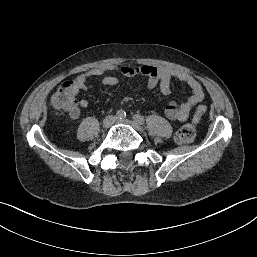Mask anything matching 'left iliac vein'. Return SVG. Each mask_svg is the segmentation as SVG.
Here are the masks:
<instances>
[{
    "label": "left iliac vein",
    "mask_w": 257,
    "mask_h": 257,
    "mask_svg": "<svg viewBox=\"0 0 257 257\" xmlns=\"http://www.w3.org/2000/svg\"><path fill=\"white\" fill-rule=\"evenodd\" d=\"M116 123L119 124H127L130 125L131 127H133L135 130L141 132L143 131V128L141 127V125L135 121L129 120V119H115Z\"/></svg>",
    "instance_id": "4c4485c4"
}]
</instances>
